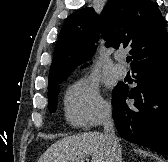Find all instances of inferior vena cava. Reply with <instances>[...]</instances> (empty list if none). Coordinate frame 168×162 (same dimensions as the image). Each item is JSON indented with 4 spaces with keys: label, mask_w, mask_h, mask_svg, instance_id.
I'll return each instance as SVG.
<instances>
[{
    "label": "inferior vena cava",
    "mask_w": 168,
    "mask_h": 162,
    "mask_svg": "<svg viewBox=\"0 0 168 162\" xmlns=\"http://www.w3.org/2000/svg\"><path fill=\"white\" fill-rule=\"evenodd\" d=\"M104 138L107 146L109 162L121 161V147L114 132L111 110H106L103 116Z\"/></svg>",
    "instance_id": "obj_1"
}]
</instances>
